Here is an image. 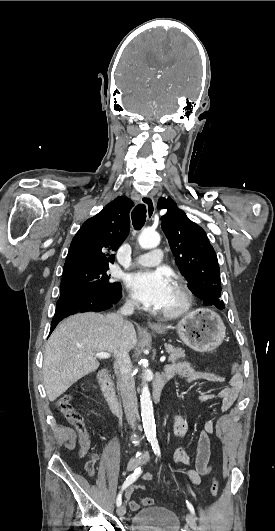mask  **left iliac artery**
<instances>
[{
  "label": "left iliac artery",
  "mask_w": 275,
  "mask_h": 531,
  "mask_svg": "<svg viewBox=\"0 0 275 531\" xmlns=\"http://www.w3.org/2000/svg\"><path fill=\"white\" fill-rule=\"evenodd\" d=\"M151 445H152V449L154 451V454L158 457L161 456V452H160V447H159V444H158V441L157 439H153L151 440ZM186 504H187V507L189 509V511L195 515V511H194V507L192 506L191 503H189L187 500H186Z\"/></svg>",
  "instance_id": "obj_1"
}]
</instances>
